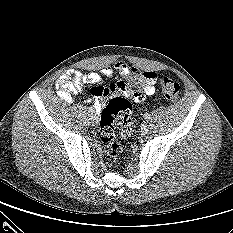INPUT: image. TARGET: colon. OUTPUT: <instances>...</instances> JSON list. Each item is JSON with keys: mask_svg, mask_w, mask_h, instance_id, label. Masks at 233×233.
<instances>
[{"mask_svg": "<svg viewBox=\"0 0 233 233\" xmlns=\"http://www.w3.org/2000/svg\"><path fill=\"white\" fill-rule=\"evenodd\" d=\"M145 78L143 73L132 70L128 89L133 97L139 98L141 96ZM159 85L167 100L175 102L179 99L181 88L176 81L163 76L159 79ZM130 113L131 102L128 96L123 94L112 98L101 112L99 139L103 144L104 152L114 164H118L123 157V147L116 138L115 123L120 126L122 136L129 137L134 132Z\"/></svg>", "mask_w": 233, "mask_h": 233, "instance_id": "colon-1", "label": "colon"}]
</instances>
